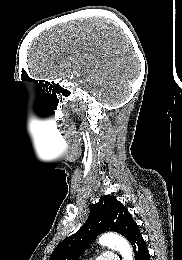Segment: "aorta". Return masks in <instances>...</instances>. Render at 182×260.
<instances>
[{
	"label": "aorta",
	"instance_id": "1",
	"mask_svg": "<svg viewBox=\"0 0 182 260\" xmlns=\"http://www.w3.org/2000/svg\"><path fill=\"white\" fill-rule=\"evenodd\" d=\"M99 244L117 250L122 255L123 260H134L130 244L120 235L106 233L99 238Z\"/></svg>",
	"mask_w": 182,
	"mask_h": 260
}]
</instances>
